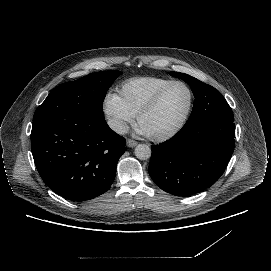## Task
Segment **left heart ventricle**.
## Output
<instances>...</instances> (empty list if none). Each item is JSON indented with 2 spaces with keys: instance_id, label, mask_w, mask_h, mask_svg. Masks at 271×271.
<instances>
[{
  "instance_id": "b2bd125f",
  "label": "left heart ventricle",
  "mask_w": 271,
  "mask_h": 271,
  "mask_svg": "<svg viewBox=\"0 0 271 271\" xmlns=\"http://www.w3.org/2000/svg\"><path fill=\"white\" fill-rule=\"evenodd\" d=\"M190 103V91L183 84L169 89L158 107L146 116L140 124L149 136L167 133L178 125Z\"/></svg>"
}]
</instances>
